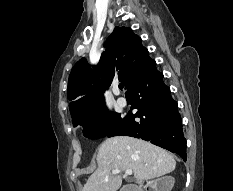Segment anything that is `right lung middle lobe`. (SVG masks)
I'll return each instance as SVG.
<instances>
[{"instance_id": "1", "label": "right lung middle lobe", "mask_w": 233, "mask_h": 191, "mask_svg": "<svg viewBox=\"0 0 233 191\" xmlns=\"http://www.w3.org/2000/svg\"><path fill=\"white\" fill-rule=\"evenodd\" d=\"M120 120V114L108 112L104 104L72 117L73 126L81 125L84 136L90 139L104 137Z\"/></svg>"}]
</instances>
